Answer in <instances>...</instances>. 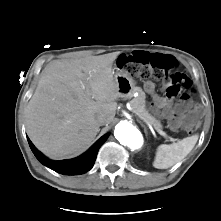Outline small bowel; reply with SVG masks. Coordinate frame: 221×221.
Segmentation results:
<instances>
[{
  "instance_id": "obj_1",
  "label": "small bowel",
  "mask_w": 221,
  "mask_h": 221,
  "mask_svg": "<svg viewBox=\"0 0 221 221\" xmlns=\"http://www.w3.org/2000/svg\"><path fill=\"white\" fill-rule=\"evenodd\" d=\"M136 52H143V51H135V52H131L125 55H127L130 58H133ZM145 53L149 55L153 54L149 52H145ZM147 89L148 91L152 93L153 105L156 108L162 109L163 117L167 118L171 122L172 125H175L173 123V119L178 113L179 108L182 107L183 104L175 103L173 97H170L168 95L166 97H162V96L155 94L151 82L147 83Z\"/></svg>"
}]
</instances>
